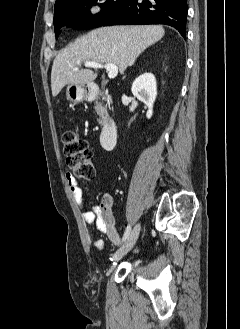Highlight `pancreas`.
<instances>
[{
	"label": "pancreas",
	"mask_w": 240,
	"mask_h": 329,
	"mask_svg": "<svg viewBox=\"0 0 240 329\" xmlns=\"http://www.w3.org/2000/svg\"><path fill=\"white\" fill-rule=\"evenodd\" d=\"M104 110V107L100 104V103H97L96 104V111L97 113H99V115H101L102 111ZM102 119H98V122L99 123H102Z\"/></svg>",
	"instance_id": "cf45deb5"
}]
</instances>
